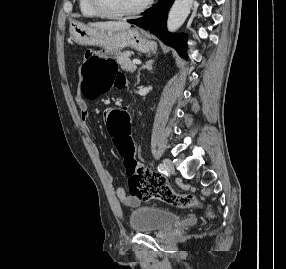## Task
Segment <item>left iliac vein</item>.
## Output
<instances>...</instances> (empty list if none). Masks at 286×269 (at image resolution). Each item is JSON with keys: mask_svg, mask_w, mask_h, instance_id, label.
<instances>
[{"mask_svg": "<svg viewBox=\"0 0 286 269\" xmlns=\"http://www.w3.org/2000/svg\"><path fill=\"white\" fill-rule=\"evenodd\" d=\"M162 164L167 166L168 173L175 174L174 165L170 159H164Z\"/></svg>", "mask_w": 286, "mask_h": 269, "instance_id": "obj_1", "label": "left iliac vein"}]
</instances>
